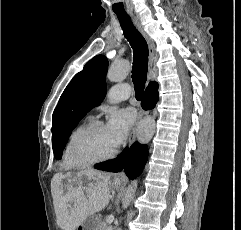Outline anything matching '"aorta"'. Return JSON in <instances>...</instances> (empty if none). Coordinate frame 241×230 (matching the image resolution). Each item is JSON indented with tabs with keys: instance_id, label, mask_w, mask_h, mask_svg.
Here are the masks:
<instances>
[{
	"instance_id": "obj_1",
	"label": "aorta",
	"mask_w": 241,
	"mask_h": 230,
	"mask_svg": "<svg viewBox=\"0 0 241 230\" xmlns=\"http://www.w3.org/2000/svg\"><path fill=\"white\" fill-rule=\"evenodd\" d=\"M130 71V63L127 60L114 62L108 70L107 78L111 82L123 81ZM155 132V120L152 117H145L137 129V139L141 144H147ZM137 189V180L132 181L122 196L123 207L126 208L134 197Z\"/></svg>"
}]
</instances>
